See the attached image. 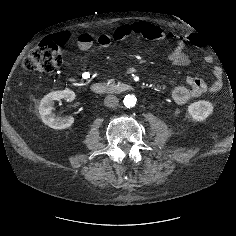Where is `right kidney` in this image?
Masks as SVG:
<instances>
[{
  "label": "right kidney",
  "instance_id": "ca27d5eb",
  "mask_svg": "<svg viewBox=\"0 0 236 236\" xmlns=\"http://www.w3.org/2000/svg\"><path fill=\"white\" fill-rule=\"evenodd\" d=\"M61 99L71 102L75 99V93L69 89L51 92L44 96L39 106V114L43 123L53 129L59 130L68 128L74 123L72 116L61 117L52 112L54 101Z\"/></svg>",
  "mask_w": 236,
  "mask_h": 236
}]
</instances>
